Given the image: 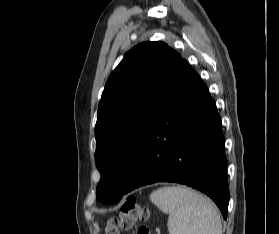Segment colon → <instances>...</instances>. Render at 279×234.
<instances>
[{
	"mask_svg": "<svg viewBox=\"0 0 279 234\" xmlns=\"http://www.w3.org/2000/svg\"><path fill=\"white\" fill-rule=\"evenodd\" d=\"M148 219L147 209L135 198L124 202L117 216L110 217L105 225L104 234H119V230L134 231V234H150L145 222Z\"/></svg>",
	"mask_w": 279,
	"mask_h": 234,
	"instance_id": "obj_1",
	"label": "colon"
}]
</instances>
